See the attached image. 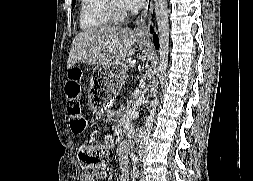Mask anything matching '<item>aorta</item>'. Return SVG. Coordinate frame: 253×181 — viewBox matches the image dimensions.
I'll return each mask as SVG.
<instances>
[{
  "mask_svg": "<svg viewBox=\"0 0 253 181\" xmlns=\"http://www.w3.org/2000/svg\"><path fill=\"white\" fill-rule=\"evenodd\" d=\"M155 6V18L157 22V31L159 37V64L157 71L159 73V79L164 78V74L168 65L169 56V22H168V8L167 0H154ZM158 103L157 98L154 100V104ZM155 106L150 107V112H147V123L143 125V136L141 139V145L139 147V157H146L148 149L151 148L149 144L150 131L154 124V112Z\"/></svg>",
  "mask_w": 253,
  "mask_h": 181,
  "instance_id": "aorta-1",
  "label": "aorta"
}]
</instances>
